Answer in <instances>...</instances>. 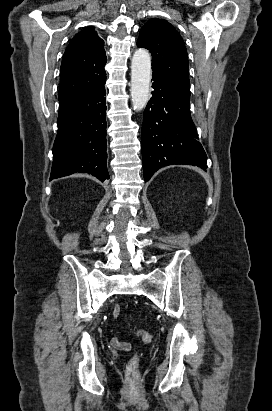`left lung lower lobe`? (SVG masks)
Listing matches in <instances>:
<instances>
[{
  "label": "left lung lower lobe",
  "mask_w": 272,
  "mask_h": 411,
  "mask_svg": "<svg viewBox=\"0 0 272 411\" xmlns=\"http://www.w3.org/2000/svg\"><path fill=\"white\" fill-rule=\"evenodd\" d=\"M153 80L154 91L144 111L141 131L145 182L168 165L207 168V156L190 114V94L156 75Z\"/></svg>",
  "instance_id": "left-lung-lower-lobe-1"
}]
</instances>
